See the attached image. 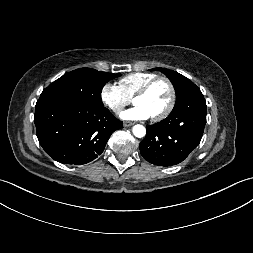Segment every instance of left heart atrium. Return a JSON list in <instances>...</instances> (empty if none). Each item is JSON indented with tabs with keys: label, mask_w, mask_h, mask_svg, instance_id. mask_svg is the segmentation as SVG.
<instances>
[{
	"label": "left heart atrium",
	"mask_w": 253,
	"mask_h": 253,
	"mask_svg": "<svg viewBox=\"0 0 253 253\" xmlns=\"http://www.w3.org/2000/svg\"><path fill=\"white\" fill-rule=\"evenodd\" d=\"M120 117L125 120H145L150 118V115L141 105L135 104L132 108L123 111Z\"/></svg>",
	"instance_id": "39dd6f15"
}]
</instances>
